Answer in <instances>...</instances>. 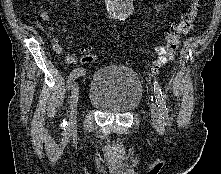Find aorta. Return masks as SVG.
I'll return each instance as SVG.
<instances>
[{"label": "aorta", "instance_id": "aorta-1", "mask_svg": "<svg viewBox=\"0 0 221 174\" xmlns=\"http://www.w3.org/2000/svg\"><path fill=\"white\" fill-rule=\"evenodd\" d=\"M108 14L112 18H127L133 7V0H105Z\"/></svg>", "mask_w": 221, "mask_h": 174}]
</instances>
